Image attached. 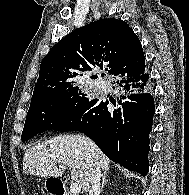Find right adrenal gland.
<instances>
[{"mask_svg": "<svg viewBox=\"0 0 189 195\" xmlns=\"http://www.w3.org/2000/svg\"><path fill=\"white\" fill-rule=\"evenodd\" d=\"M107 174H108V171H107V170L104 171V174H103V176H102V184H101L100 192L103 191V188H104L106 182L108 181V179H107Z\"/></svg>", "mask_w": 189, "mask_h": 195, "instance_id": "2a0ac1e0", "label": "right adrenal gland"}]
</instances>
